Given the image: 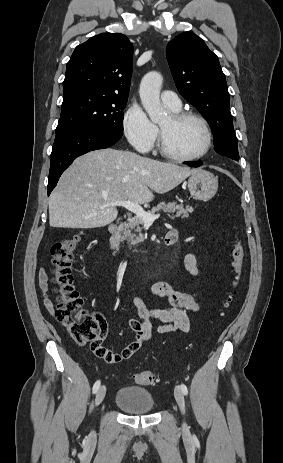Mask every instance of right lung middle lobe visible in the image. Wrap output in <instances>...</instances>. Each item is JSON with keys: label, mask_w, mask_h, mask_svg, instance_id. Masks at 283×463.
Returning a JSON list of instances; mask_svg holds the SVG:
<instances>
[{"label": "right lung middle lobe", "mask_w": 283, "mask_h": 463, "mask_svg": "<svg viewBox=\"0 0 283 463\" xmlns=\"http://www.w3.org/2000/svg\"><path fill=\"white\" fill-rule=\"evenodd\" d=\"M127 97L79 93L62 103L56 135L83 128L123 133V110Z\"/></svg>", "instance_id": "1"}]
</instances>
